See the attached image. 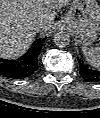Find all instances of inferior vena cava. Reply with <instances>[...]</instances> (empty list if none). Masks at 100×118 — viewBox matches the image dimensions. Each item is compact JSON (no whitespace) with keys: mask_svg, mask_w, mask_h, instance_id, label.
Masks as SVG:
<instances>
[{"mask_svg":"<svg viewBox=\"0 0 100 118\" xmlns=\"http://www.w3.org/2000/svg\"><path fill=\"white\" fill-rule=\"evenodd\" d=\"M36 32H43L48 30V26L43 23H38L34 26Z\"/></svg>","mask_w":100,"mask_h":118,"instance_id":"1","label":"inferior vena cava"}]
</instances>
